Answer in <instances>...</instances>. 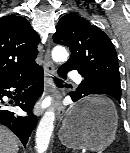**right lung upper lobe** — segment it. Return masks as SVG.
Wrapping results in <instances>:
<instances>
[{
  "label": "right lung upper lobe",
  "instance_id": "1",
  "mask_svg": "<svg viewBox=\"0 0 130 153\" xmlns=\"http://www.w3.org/2000/svg\"><path fill=\"white\" fill-rule=\"evenodd\" d=\"M39 36L24 17L0 18V80L33 73Z\"/></svg>",
  "mask_w": 130,
  "mask_h": 153
}]
</instances>
